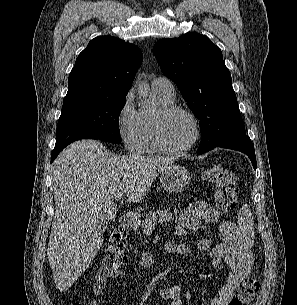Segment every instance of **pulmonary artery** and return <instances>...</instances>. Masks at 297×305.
<instances>
[{
	"label": "pulmonary artery",
	"instance_id": "pulmonary-artery-1",
	"mask_svg": "<svg viewBox=\"0 0 297 305\" xmlns=\"http://www.w3.org/2000/svg\"><path fill=\"white\" fill-rule=\"evenodd\" d=\"M152 90L158 92L169 99H174L175 88L170 79L166 77H157L151 83Z\"/></svg>",
	"mask_w": 297,
	"mask_h": 305
}]
</instances>
